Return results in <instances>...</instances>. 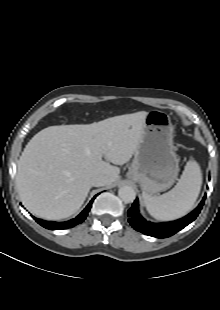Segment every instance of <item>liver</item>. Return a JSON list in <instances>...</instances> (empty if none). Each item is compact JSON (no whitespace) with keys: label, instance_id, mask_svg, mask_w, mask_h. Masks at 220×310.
Masks as SVG:
<instances>
[{"label":"liver","instance_id":"obj_1","mask_svg":"<svg viewBox=\"0 0 220 310\" xmlns=\"http://www.w3.org/2000/svg\"><path fill=\"white\" fill-rule=\"evenodd\" d=\"M148 112L140 111L86 125L50 126L38 132L20 156L16 186L35 216L59 220L84 203L95 175L114 183L142 138ZM103 158L106 160L104 161Z\"/></svg>","mask_w":220,"mask_h":310}]
</instances>
